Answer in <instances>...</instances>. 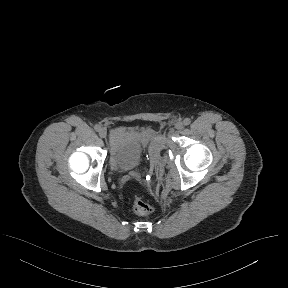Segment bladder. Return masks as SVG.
I'll return each mask as SVG.
<instances>
[{
  "mask_svg": "<svg viewBox=\"0 0 288 288\" xmlns=\"http://www.w3.org/2000/svg\"><path fill=\"white\" fill-rule=\"evenodd\" d=\"M158 154V146L149 130L120 127L110 132L109 162L115 170H134L143 159L155 158Z\"/></svg>",
  "mask_w": 288,
  "mask_h": 288,
  "instance_id": "1",
  "label": "bladder"
}]
</instances>
